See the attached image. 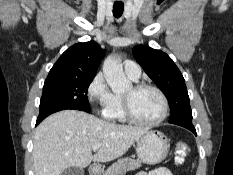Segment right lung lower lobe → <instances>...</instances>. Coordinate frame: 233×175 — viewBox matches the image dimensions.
<instances>
[{"label":"right lung lower lobe","mask_w":233,"mask_h":175,"mask_svg":"<svg viewBox=\"0 0 233 175\" xmlns=\"http://www.w3.org/2000/svg\"><path fill=\"white\" fill-rule=\"evenodd\" d=\"M44 119V118H43ZM42 118L38 119L37 118V122H36V126L43 120Z\"/></svg>","instance_id":"obj_1"}]
</instances>
